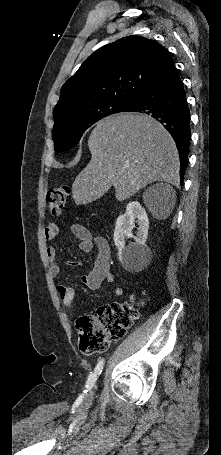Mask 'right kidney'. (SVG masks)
I'll list each match as a JSON object with an SVG mask.
<instances>
[{
    "label": "right kidney",
    "mask_w": 221,
    "mask_h": 455,
    "mask_svg": "<svg viewBox=\"0 0 221 455\" xmlns=\"http://www.w3.org/2000/svg\"><path fill=\"white\" fill-rule=\"evenodd\" d=\"M135 222L138 228L136 236H133ZM148 228L149 220L145 209L138 201L128 203L126 212L118 217L114 231V243L118 249L119 260L126 270L137 269L148 261L150 257V249L146 245ZM126 238H134L135 242L125 247Z\"/></svg>",
    "instance_id": "ca27d5eb"
}]
</instances>
